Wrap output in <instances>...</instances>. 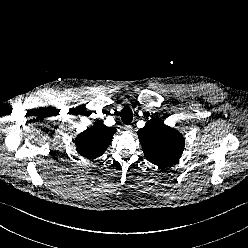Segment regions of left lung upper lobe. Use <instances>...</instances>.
I'll list each match as a JSON object with an SVG mask.
<instances>
[{"label":"left lung upper lobe","instance_id":"obj_1","mask_svg":"<svg viewBox=\"0 0 248 248\" xmlns=\"http://www.w3.org/2000/svg\"><path fill=\"white\" fill-rule=\"evenodd\" d=\"M138 137L146 159L158 167L174 164L184 150L182 134L156 118L138 131Z\"/></svg>","mask_w":248,"mask_h":248}]
</instances>
